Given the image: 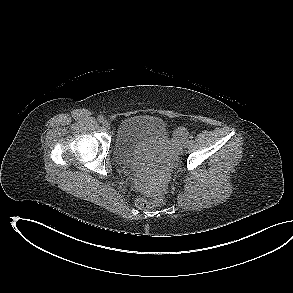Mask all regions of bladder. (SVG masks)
<instances>
[{
	"label": "bladder",
	"mask_w": 293,
	"mask_h": 293,
	"mask_svg": "<svg viewBox=\"0 0 293 293\" xmlns=\"http://www.w3.org/2000/svg\"><path fill=\"white\" fill-rule=\"evenodd\" d=\"M167 140L168 129L161 118L147 114L132 115L123 119L118 127L113 155L119 164L133 165L142 146L164 144Z\"/></svg>",
	"instance_id": "31cf9c89"
}]
</instances>
